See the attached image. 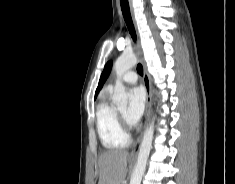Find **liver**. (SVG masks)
Masks as SVG:
<instances>
[{
	"instance_id": "6515ba94",
	"label": "liver",
	"mask_w": 235,
	"mask_h": 184,
	"mask_svg": "<svg viewBox=\"0 0 235 184\" xmlns=\"http://www.w3.org/2000/svg\"><path fill=\"white\" fill-rule=\"evenodd\" d=\"M128 152L108 150L99 156L100 176L98 184H122L127 176Z\"/></svg>"
}]
</instances>
